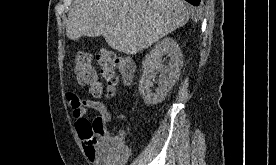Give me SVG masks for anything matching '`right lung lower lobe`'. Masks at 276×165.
Returning <instances> with one entry per match:
<instances>
[{"label":"right lung lower lobe","mask_w":276,"mask_h":165,"mask_svg":"<svg viewBox=\"0 0 276 165\" xmlns=\"http://www.w3.org/2000/svg\"><path fill=\"white\" fill-rule=\"evenodd\" d=\"M186 1H188L189 3H191L194 6H198L203 2V0H186Z\"/></svg>","instance_id":"obj_1"}]
</instances>
